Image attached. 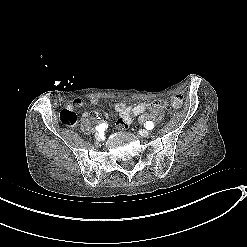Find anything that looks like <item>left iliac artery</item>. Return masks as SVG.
I'll return each mask as SVG.
<instances>
[{"mask_svg": "<svg viewBox=\"0 0 247 247\" xmlns=\"http://www.w3.org/2000/svg\"><path fill=\"white\" fill-rule=\"evenodd\" d=\"M144 127L148 130H152L154 128V124L152 121H147L145 124H144Z\"/></svg>", "mask_w": 247, "mask_h": 247, "instance_id": "obj_1", "label": "left iliac artery"}]
</instances>
